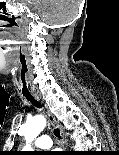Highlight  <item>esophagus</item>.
<instances>
[{
  "mask_svg": "<svg viewBox=\"0 0 119 155\" xmlns=\"http://www.w3.org/2000/svg\"><path fill=\"white\" fill-rule=\"evenodd\" d=\"M33 97L43 106V111L48 119V122L60 130V134H61V138H62V145H63V148L66 149L67 138H66V134H65L63 128L58 123V121L55 119V117L52 115V113L50 112L48 107L46 105H44V100L42 99L41 95L38 93H34Z\"/></svg>",
  "mask_w": 119,
  "mask_h": 155,
  "instance_id": "1",
  "label": "esophagus"
}]
</instances>
